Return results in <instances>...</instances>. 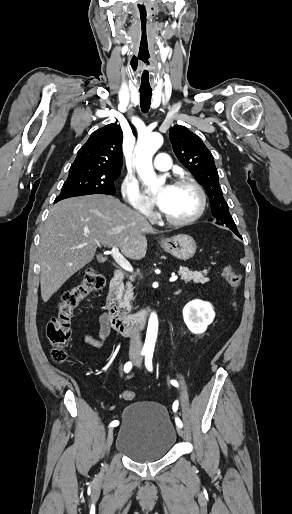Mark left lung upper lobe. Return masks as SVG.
I'll return each instance as SVG.
<instances>
[{"mask_svg":"<svg viewBox=\"0 0 292 514\" xmlns=\"http://www.w3.org/2000/svg\"><path fill=\"white\" fill-rule=\"evenodd\" d=\"M173 151L180 162L194 175L209 196L211 211L217 224L226 226L238 233L235 222L229 213L218 180L214 158L203 141L184 126L176 125L169 131ZM209 221H212L210 219Z\"/></svg>","mask_w":292,"mask_h":514,"instance_id":"5c2ea615","label":"left lung upper lobe"}]
</instances>
